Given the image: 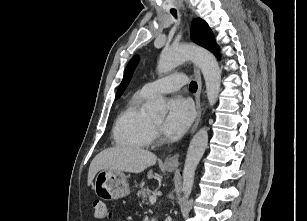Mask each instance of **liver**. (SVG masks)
Segmentation results:
<instances>
[{"instance_id": "obj_1", "label": "liver", "mask_w": 307, "mask_h": 221, "mask_svg": "<svg viewBox=\"0 0 307 221\" xmlns=\"http://www.w3.org/2000/svg\"><path fill=\"white\" fill-rule=\"evenodd\" d=\"M157 161L155 154L138 147L118 146L100 152L92 160L88 172V185L92 184L95 175L106 169L140 173L153 166ZM148 178L153 177V171L148 172Z\"/></svg>"}]
</instances>
